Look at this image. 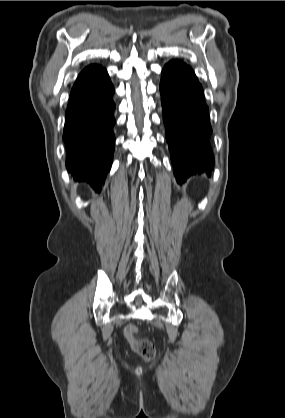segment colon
I'll use <instances>...</instances> for the list:
<instances>
[{
    "label": "colon",
    "instance_id": "1",
    "mask_svg": "<svg viewBox=\"0 0 285 418\" xmlns=\"http://www.w3.org/2000/svg\"><path fill=\"white\" fill-rule=\"evenodd\" d=\"M136 333L137 327L134 325H129L124 330V335L131 348L145 361H151L156 354L153 343L148 339L138 338Z\"/></svg>",
    "mask_w": 285,
    "mask_h": 418
}]
</instances>
